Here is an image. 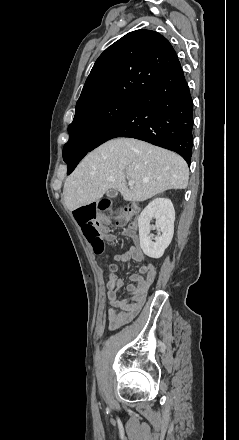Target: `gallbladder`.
Returning a JSON list of instances; mask_svg holds the SVG:
<instances>
[{
	"instance_id": "obj_1",
	"label": "gallbladder",
	"mask_w": 239,
	"mask_h": 440,
	"mask_svg": "<svg viewBox=\"0 0 239 440\" xmlns=\"http://www.w3.org/2000/svg\"><path fill=\"white\" fill-rule=\"evenodd\" d=\"M117 190H109V192H107V196L108 198H115V196H117Z\"/></svg>"
}]
</instances>
